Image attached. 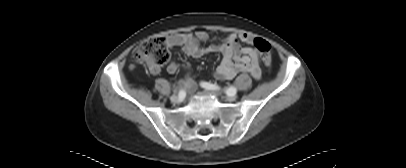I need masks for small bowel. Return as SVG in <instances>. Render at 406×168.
<instances>
[{"label":"small bowel","instance_id":"small-bowel-1","mask_svg":"<svg viewBox=\"0 0 406 168\" xmlns=\"http://www.w3.org/2000/svg\"><path fill=\"white\" fill-rule=\"evenodd\" d=\"M209 35L204 31H198L195 34L180 33L170 35L166 38L169 48L181 47L183 52L194 58H200L207 52H217L222 55V60L214 72L215 78L219 80L233 79L239 73H249L254 79L261 78V60L259 52L249 46H241L240 42L251 44L253 37L249 34L237 36L231 34L216 44L203 48L201 42L207 41ZM183 68L189 72L190 66L183 65ZM180 69V65L170 62L167 66L169 73L174 74ZM152 74H158L160 67L157 65L149 66ZM179 86L188 92L196 89L195 81L189 74L178 82Z\"/></svg>","mask_w":406,"mask_h":168}]
</instances>
